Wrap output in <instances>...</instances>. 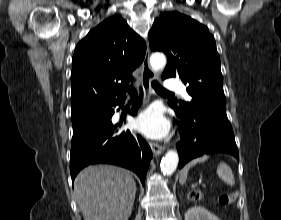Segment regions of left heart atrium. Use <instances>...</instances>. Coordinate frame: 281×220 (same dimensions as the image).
<instances>
[{
  "instance_id": "left-heart-atrium-1",
  "label": "left heart atrium",
  "mask_w": 281,
  "mask_h": 220,
  "mask_svg": "<svg viewBox=\"0 0 281 220\" xmlns=\"http://www.w3.org/2000/svg\"><path fill=\"white\" fill-rule=\"evenodd\" d=\"M135 128L149 138L160 139L168 134L169 123L160 109L152 106L137 117Z\"/></svg>"
}]
</instances>
